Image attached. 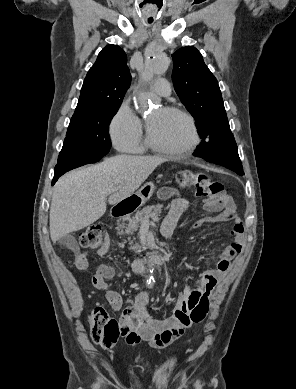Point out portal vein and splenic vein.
Segmentation results:
<instances>
[{
    "label": "portal vein and splenic vein",
    "mask_w": 296,
    "mask_h": 389,
    "mask_svg": "<svg viewBox=\"0 0 296 389\" xmlns=\"http://www.w3.org/2000/svg\"><path fill=\"white\" fill-rule=\"evenodd\" d=\"M152 218H153V220H158V219H157L156 217H154V216H153Z\"/></svg>",
    "instance_id": "obj_1"
}]
</instances>
